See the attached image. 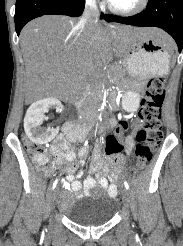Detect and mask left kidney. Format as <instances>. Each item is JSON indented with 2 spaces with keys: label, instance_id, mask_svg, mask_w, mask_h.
Segmentation results:
<instances>
[{
  "label": "left kidney",
  "instance_id": "1",
  "mask_svg": "<svg viewBox=\"0 0 183 246\" xmlns=\"http://www.w3.org/2000/svg\"><path fill=\"white\" fill-rule=\"evenodd\" d=\"M140 105V95L134 91H127L122 97V107L127 112H135Z\"/></svg>",
  "mask_w": 183,
  "mask_h": 246
}]
</instances>
